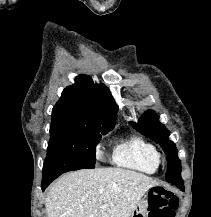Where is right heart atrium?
<instances>
[{
  "label": "right heart atrium",
  "instance_id": "1",
  "mask_svg": "<svg viewBox=\"0 0 211 217\" xmlns=\"http://www.w3.org/2000/svg\"><path fill=\"white\" fill-rule=\"evenodd\" d=\"M97 149H98V150L100 149V144H98Z\"/></svg>",
  "mask_w": 211,
  "mask_h": 217
}]
</instances>
